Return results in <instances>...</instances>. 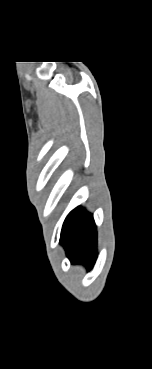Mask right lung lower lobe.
<instances>
[{"label": "right lung lower lobe", "mask_w": 152, "mask_h": 369, "mask_svg": "<svg viewBox=\"0 0 152 369\" xmlns=\"http://www.w3.org/2000/svg\"><path fill=\"white\" fill-rule=\"evenodd\" d=\"M60 242L73 264H85L90 270L97 255V232L92 215L79 207L74 209L63 224Z\"/></svg>", "instance_id": "right-lung-lower-lobe-1"}]
</instances>
